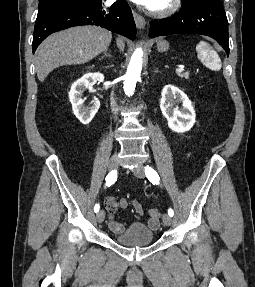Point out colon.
<instances>
[{
	"label": "colon",
	"instance_id": "colon-1",
	"mask_svg": "<svg viewBox=\"0 0 255 287\" xmlns=\"http://www.w3.org/2000/svg\"><path fill=\"white\" fill-rule=\"evenodd\" d=\"M149 214H150L151 217L158 218V219L161 216V212L159 210L155 209V208L150 209L149 210Z\"/></svg>",
	"mask_w": 255,
	"mask_h": 287
}]
</instances>
